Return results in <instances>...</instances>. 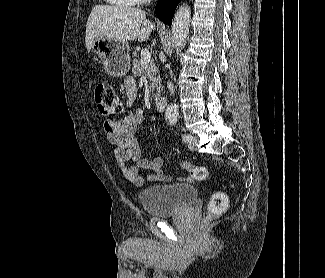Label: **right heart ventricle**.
<instances>
[{
	"mask_svg": "<svg viewBox=\"0 0 325 278\" xmlns=\"http://www.w3.org/2000/svg\"><path fill=\"white\" fill-rule=\"evenodd\" d=\"M106 1L120 7H134L138 5L137 0H106Z\"/></svg>",
	"mask_w": 325,
	"mask_h": 278,
	"instance_id": "obj_1",
	"label": "right heart ventricle"
}]
</instances>
